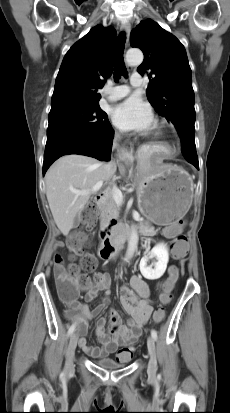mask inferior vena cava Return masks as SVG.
Returning <instances> with one entry per match:
<instances>
[{
  "mask_svg": "<svg viewBox=\"0 0 230 413\" xmlns=\"http://www.w3.org/2000/svg\"><path fill=\"white\" fill-rule=\"evenodd\" d=\"M104 170L106 172H108L109 174H113L116 171L115 163L113 161H110V162L106 163L104 165ZM120 229H121V226H120ZM123 242H124V237H123V235H120L119 239H118V244L121 245V244H123ZM117 253H118V248L115 250V252L113 254V257H115L117 255Z\"/></svg>",
  "mask_w": 230,
  "mask_h": 413,
  "instance_id": "1",
  "label": "inferior vena cava"
}]
</instances>
